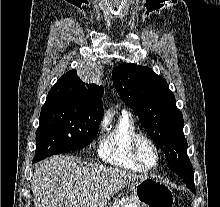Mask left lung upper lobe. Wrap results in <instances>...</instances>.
Here are the masks:
<instances>
[{
    "label": "left lung upper lobe",
    "instance_id": "5c2ea615",
    "mask_svg": "<svg viewBox=\"0 0 220 207\" xmlns=\"http://www.w3.org/2000/svg\"><path fill=\"white\" fill-rule=\"evenodd\" d=\"M112 77L120 98L133 109L168 162L188 160L183 116L166 80L148 67L129 63L115 67Z\"/></svg>",
    "mask_w": 220,
    "mask_h": 207
}]
</instances>
